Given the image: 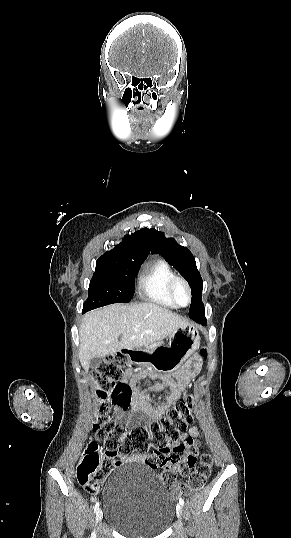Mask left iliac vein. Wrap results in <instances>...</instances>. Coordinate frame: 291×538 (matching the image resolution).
Masks as SVG:
<instances>
[{
  "mask_svg": "<svg viewBox=\"0 0 291 538\" xmlns=\"http://www.w3.org/2000/svg\"><path fill=\"white\" fill-rule=\"evenodd\" d=\"M176 514H177L178 518H181V516H182V506L180 504H178L177 507H176Z\"/></svg>",
  "mask_w": 291,
  "mask_h": 538,
  "instance_id": "obj_1",
  "label": "left iliac vein"
}]
</instances>
